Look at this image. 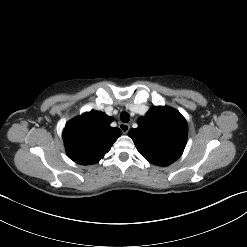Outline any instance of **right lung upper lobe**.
Returning <instances> with one entry per match:
<instances>
[{"label": "right lung upper lobe", "instance_id": "obj_1", "mask_svg": "<svg viewBox=\"0 0 247 247\" xmlns=\"http://www.w3.org/2000/svg\"><path fill=\"white\" fill-rule=\"evenodd\" d=\"M112 121L113 117L92 110L68 122L62 137L70 159L82 165L99 162L122 134L110 126Z\"/></svg>", "mask_w": 247, "mask_h": 247}]
</instances>
